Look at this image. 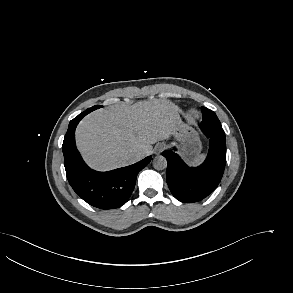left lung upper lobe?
I'll return each instance as SVG.
<instances>
[{
    "label": "left lung upper lobe",
    "instance_id": "1",
    "mask_svg": "<svg viewBox=\"0 0 293 293\" xmlns=\"http://www.w3.org/2000/svg\"><path fill=\"white\" fill-rule=\"evenodd\" d=\"M201 110L203 113L202 123L209 125L215 131L222 129V126L218 117L212 110L205 107H201Z\"/></svg>",
    "mask_w": 293,
    "mask_h": 293
}]
</instances>
